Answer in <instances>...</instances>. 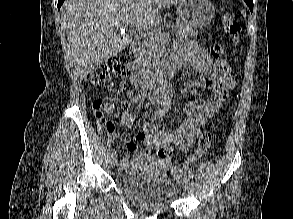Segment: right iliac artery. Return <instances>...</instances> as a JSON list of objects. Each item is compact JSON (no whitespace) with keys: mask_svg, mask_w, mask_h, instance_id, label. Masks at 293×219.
Here are the masks:
<instances>
[{"mask_svg":"<svg viewBox=\"0 0 293 219\" xmlns=\"http://www.w3.org/2000/svg\"><path fill=\"white\" fill-rule=\"evenodd\" d=\"M170 107H171V99H170L169 93L165 92V93H163L162 107L152 115L151 120L154 121V120H157V119L161 118L162 116H164L168 112ZM115 153H116V151L114 149H112L111 155H113Z\"/></svg>","mask_w":293,"mask_h":219,"instance_id":"obj_1","label":"right iliac artery"}]
</instances>
